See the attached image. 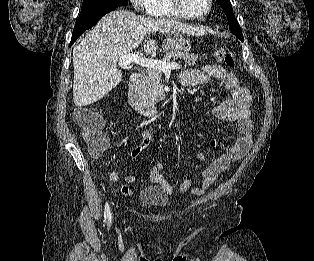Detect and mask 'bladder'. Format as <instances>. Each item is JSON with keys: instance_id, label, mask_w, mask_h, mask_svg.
Wrapping results in <instances>:
<instances>
[{"instance_id": "1", "label": "bladder", "mask_w": 314, "mask_h": 261, "mask_svg": "<svg viewBox=\"0 0 314 261\" xmlns=\"http://www.w3.org/2000/svg\"><path fill=\"white\" fill-rule=\"evenodd\" d=\"M137 198L152 207H164L169 202V196L154 186L142 189Z\"/></svg>"}]
</instances>
